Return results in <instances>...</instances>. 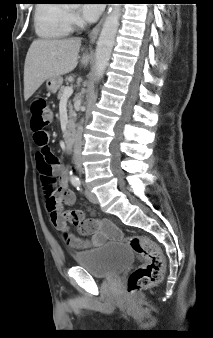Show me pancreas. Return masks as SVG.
Segmentation results:
<instances>
[{
    "mask_svg": "<svg viewBox=\"0 0 213 338\" xmlns=\"http://www.w3.org/2000/svg\"><path fill=\"white\" fill-rule=\"evenodd\" d=\"M64 89H65L64 87H61L59 89V92L57 94V98L59 100L62 99V96H63V93H64ZM68 108H69V124H70V123H72L74 121L75 116H76L75 111L73 110L71 101L68 102Z\"/></svg>",
    "mask_w": 213,
    "mask_h": 338,
    "instance_id": "cf45deb5",
    "label": "pancreas"
}]
</instances>
